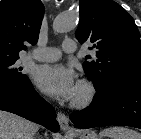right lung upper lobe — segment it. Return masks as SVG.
Segmentation results:
<instances>
[{
  "mask_svg": "<svg viewBox=\"0 0 141 139\" xmlns=\"http://www.w3.org/2000/svg\"><path fill=\"white\" fill-rule=\"evenodd\" d=\"M44 15L41 0L0 2V56H19L24 42L36 44Z\"/></svg>",
  "mask_w": 141,
  "mask_h": 139,
  "instance_id": "1",
  "label": "right lung upper lobe"
}]
</instances>
